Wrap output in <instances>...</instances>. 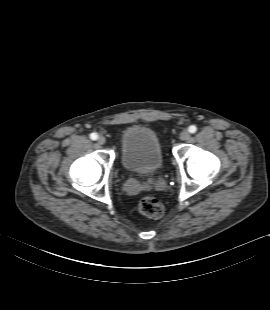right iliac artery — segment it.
Returning <instances> with one entry per match:
<instances>
[{"label":"right iliac artery","instance_id":"1","mask_svg":"<svg viewBox=\"0 0 270 310\" xmlns=\"http://www.w3.org/2000/svg\"><path fill=\"white\" fill-rule=\"evenodd\" d=\"M90 138H91L92 140H96V139L98 138V135H97L96 133H91V134H90Z\"/></svg>","mask_w":270,"mask_h":310}]
</instances>
